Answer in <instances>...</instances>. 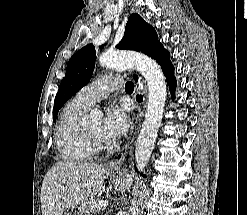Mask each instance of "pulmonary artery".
Here are the masks:
<instances>
[{"label":"pulmonary artery","instance_id":"e3ab8cb5","mask_svg":"<svg viewBox=\"0 0 247 215\" xmlns=\"http://www.w3.org/2000/svg\"><path fill=\"white\" fill-rule=\"evenodd\" d=\"M120 76H103L100 77L84 88H82L74 97V100L81 106L89 108L95 102L105 98L112 91L119 89L122 85Z\"/></svg>","mask_w":247,"mask_h":215}]
</instances>
